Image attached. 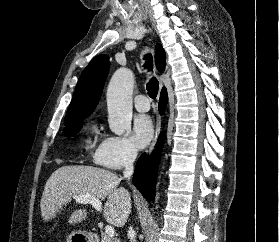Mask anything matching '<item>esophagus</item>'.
I'll return each mask as SVG.
<instances>
[{"instance_id":"obj_1","label":"esophagus","mask_w":279,"mask_h":242,"mask_svg":"<svg viewBox=\"0 0 279 242\" xmlns=\"http://www.w3.org/2000/svg\"><path fill=\"white\" fill-rule=\"evenodd\" d=\"M160 129H161V116H160V114H157L156 124H155V134H154L153 140H152L151 145L148 150L149 153L153 150V148L155 146L158 135L160 133Z\"/></svg>"}]
</instances>
